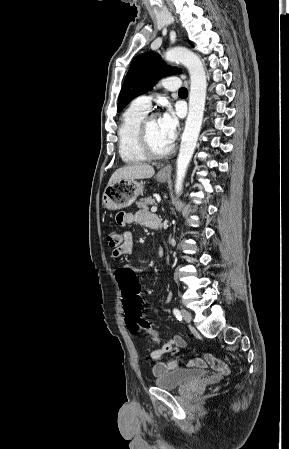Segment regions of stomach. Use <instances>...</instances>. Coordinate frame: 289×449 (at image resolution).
<instances>
[{
    "mask_svg": "<svg viewBox=\"0 0 289 449\" xmlns=\"http://www.w3.org/2000/svg\"><path fill=\"white\" fill-rule=\"evenodd\" d=\"M169 175L158 173L156 179L165 182ZM144 182L135 179H120L111 182L104 190L102 203L108 210H119L131 206L144 192Z\"/></svg>",
    "mask_w": 289,
    "mask_h": 449,
    "instance_id": "1",
    "label": "stomach"
}]
</instances>
